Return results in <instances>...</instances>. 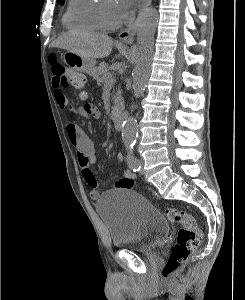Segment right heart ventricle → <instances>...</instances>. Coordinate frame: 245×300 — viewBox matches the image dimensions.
Masks as SVG:
<instances>
[{
  "label": "right heart ventricle",
  "mask_w": 245,
  "mask_h": 300,
  "mask_svg": "<svg viewBox=\"0 0 245 300\" xmlns=\"http://www.w3.org/2000/svg\"><path fill=\"white\" fill-rule=\"evenodd\" d=\"M64 24L69 30L96 32L103 29L96 0H69L64 14Z\"/></svg>",
  "instance_id": "1"
}]
</instances>
